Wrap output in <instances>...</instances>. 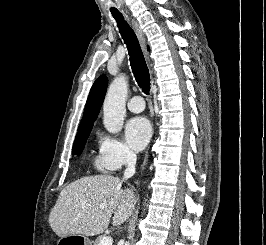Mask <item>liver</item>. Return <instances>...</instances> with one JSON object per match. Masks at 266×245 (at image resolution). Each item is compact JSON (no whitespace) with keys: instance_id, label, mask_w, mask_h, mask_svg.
I'll use <instances>...</instances> for the list:
<instances>
[{"instance_id":"liver-1","label":"liver","mask_w":266,"mask_h":245,"mask_svg":"<svg viewBox=\"0 0 266 245\" xmlns=\"http://www.w3.org/2000/svg\"><path fill=\"white\" fill-rule=\"evenodd\" d=\"M134 199L131 189L123 191L118 177H83L62 189L49 215V225L58 237L101 235L108 229L112 215L113 227L130 219Z\"/></svg>"}]
</instances>
